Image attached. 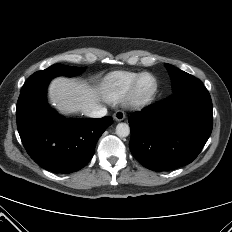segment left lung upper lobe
Instances as JSON below:
<instances>
[{
  "mask_svg": "<svg viewBox=\"0 0 232 232\" xmlns=\"http://www.w3.org/2000/svg\"><path fill=\"white\" fill-rule=\"evenodd\" d=\"M166 68L171 76L172 79V85H173V93L186 88L188 86H192L195 84L202 83L199 79L196 77L170 65L165 64Z\"/></svg>",
  "mask_w": 232,
  "mask_h": 232,
  "instance_id": "5c2ea615",
  "label": "left lung upper lobe"
}]
</instances>
